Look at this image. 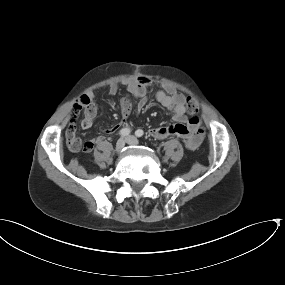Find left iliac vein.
Wrapping results in <instances>:
<instances>
[{
  "instance_id": "1",
  "label": "left iliac vein",
  "mask_w": 285,
  "mask_h": 285,
  "mask_svg": "<svg viewBox=\"0 0 285 285\" xmlns=\"http://www.w3.org/2000/svg\"><path fill=\"white\" fill-rule=\"evenodd\" d=\"M125 140H126V143L129 145H138L139 143L137 138L134 136H127Z\"/></svg>"
}]
</instances>
